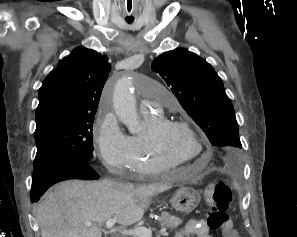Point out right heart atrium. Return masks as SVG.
<instances>
[{
  "mask_svg": "<svg viewBox=\"0 0 297 237\" xmlns=\"http://www.w3.org/2000/svg\"><path fill=\"white\" fill-rule=\"evenodd\" d=\"M95 146L104 164L113 172L129 168L130 137L121 129L115 114L104 109L95 124Z\"/></svg>",
  "mask_w": 297,
  "mask_h": 237,
  "instance_id": "right-heart-atrium-1",
  "label": "right heart atrium"
}]
</instances>
